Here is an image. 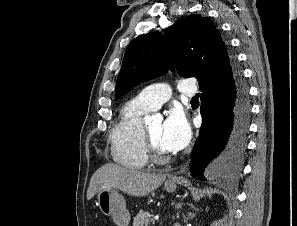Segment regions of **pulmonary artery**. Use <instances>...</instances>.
Here are the masks:
<instances>
[{
	"label": "pulmonary artery",
	"mask_w": 297,
	"mask_h": 226,
	"mask_svg": "<svg viewBox=\"0 0 297 226\" xmlns=\"http://www.w3.org/2000/svg\"><path fill=\"white\" fill-rule=\"evenodd\" d=\"M181 94L187 98H193L196 94V85L193 78H186L179 85ZM171 96V89L166 84H154L144 88L137 96L144 105L150 110L159 108L163 103L167 102Z\"/></svg>",
	"instance_id": "e3ab8cb5"
}]
</instances>
